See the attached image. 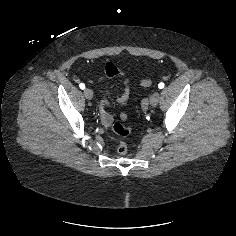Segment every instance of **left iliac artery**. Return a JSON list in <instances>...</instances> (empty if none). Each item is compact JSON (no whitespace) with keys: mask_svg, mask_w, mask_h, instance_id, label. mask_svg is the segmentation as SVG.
<instances>
[{"mask_svg":"<svg viewBox=\"0 0 236 236\" xmlns=\"http://www.w3.org/2000/svg\"><path fill=\"white\" fill-rule=\"evenodd\" d=\"M164 86H165V85H164V83H163V82H161V83H159V84H158V88H159V89H162V88H164Z\"/></svg>","mask_w":236,"mask_h":236,"instance_id":"44dca946","label":"left iliac artery"}]
</instances>
